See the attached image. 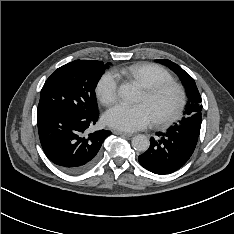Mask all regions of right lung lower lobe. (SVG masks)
I'll use <instances>...</instances> for the list:
<instances>
[{
	"mask_svg": "<svg viewBox=\"0 0 234 234\" xmlns=\"http://www.w3.org/2000/svg\"><path fill=\"white\" fill-rule=\"evenodd\" d=\"M99 114L85 116L51 111L37 116L39 138L46 156L61 170L78 174L90 169L110 131L89 132Z\"/></svg>",
	"mask_w": 234,
	"mask_h": 234,
	"instance_id": "98d812e1",
	"label": "right lung lower lobe"
}]
</instances>
